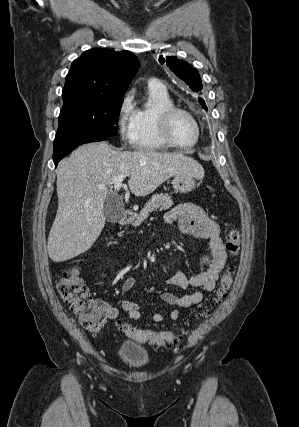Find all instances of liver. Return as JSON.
Returning <instances> with one entry per match:
<instances>
[{"mask_svg": "<svg viewBox=\"0 0 299 427\" xmlns=\"http://www.w3.org/2000/svg\"><path fill=\"white\" fill-rule=\"evenodd\" d=\"M123 174L130 176V191L142 197L175 175L201 179L204 169L178 152L117 151L106 142L80 146L58 165V210L47 242L52 261H67L92 247L105 226L108 188Z\"/></svg>", "mask_w": 299, "mask_h": 427, "instance_id": "6515ba94", "label": "liver"}]
</instances>
